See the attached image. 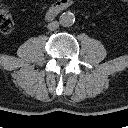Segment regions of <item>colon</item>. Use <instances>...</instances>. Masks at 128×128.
Segmentation results:
<instances>
[{
    "label": "colon",
    "instance_id": "5ec220e1",
    "mask_svg": "<svg viewBox=\"0 0 128 128\" xmlns=\"http://www.w3.org/2000/svg\"><path fill=\"white\" fill-rule=\"evenodd\" d=\"M13 20L9 9L0 3V32L9 33L12 30Z\"/></svg>",
    "mask_w": 128,
    "mask_h": 128
}]
</instances>
